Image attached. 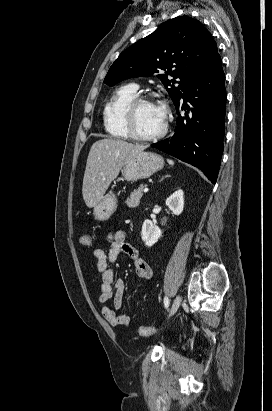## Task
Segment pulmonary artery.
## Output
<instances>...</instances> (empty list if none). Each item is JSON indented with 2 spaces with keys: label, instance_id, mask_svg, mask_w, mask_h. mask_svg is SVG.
<instances>
[{
  "label": "pulmonary artery",
  "instance_id": "1",
  "mask_svg": "<svg viewBox=\"0 0 272 411\" xmlns=\"http://www.w3.org/2000/svg\"><path fill=\"white\" fill-rule=\"evenodd\" d=\"M133 87H134L135 89H138V86H137V85H135V84L133 85Z\"/></svg>",
  "mask_w": 272,
  "mask_h": 411
}]
</instances>
